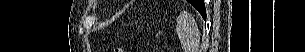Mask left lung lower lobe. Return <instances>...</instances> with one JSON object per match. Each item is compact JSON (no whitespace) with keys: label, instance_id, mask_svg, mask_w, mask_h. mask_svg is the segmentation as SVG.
I'll return each instance as SVG.
<instances>
[{"label":"left lung lower lobe","instance_id":"0a47b994","mask_svg":"<svg viewBox=\"0 0 305 52\" xmlns=\"http://www.w3.org/2000/svg\"><path fill=\"white\" fill-rule=\"evenodd\" d=\"M202 4L197 7L196 9L199 11V13L202 15L204 19H206V9H205V4L203 0H200Z\"/></svg>","mask_w":305,"mask_h":52}]
</instances>
